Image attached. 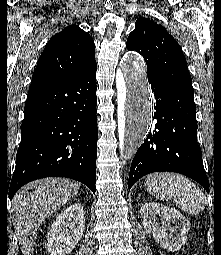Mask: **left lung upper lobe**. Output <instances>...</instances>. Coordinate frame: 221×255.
<instances>
[{
  "label": "left lung upper lobe",
  "instance_id": "left-lung-upper-lobe-1",
  "mask_svg": "<svg viewBox=\"0 0 221 255\" xmlns=\"http://www.w3.org/2000/svg\"><path fill=\"white\" fill-rule=\"evenodd\" d=\"M126 47L140 53L147 64V76L187 95L194 96L187 62L177 41L162 25L140 17L129 34Z\"/></svg>",
  "mask_w": 221,
  "mask_h": 255
}]
</instances>
